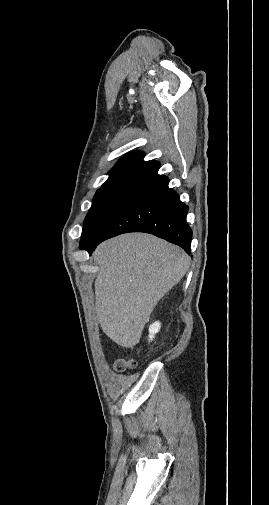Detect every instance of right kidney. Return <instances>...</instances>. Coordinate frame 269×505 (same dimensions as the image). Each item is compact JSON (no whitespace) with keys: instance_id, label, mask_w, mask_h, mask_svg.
Instances as JSON below:
<instances>
[{"instance_id":"ca27d5eb","label":"right kidney","mask_w":269,"mask_h":505,"mask_svg":"<svg viewBox=\"0 0 269 505\" xmlns=\"http://www.w3.org/2000/svg\"><path fill=\"white\" fill-rule=\"evenodd\" d=\"M161 324L160 322H155L149 327V338L152 340L154 335L160 330Z\"/></svg>"}]
</instances>
